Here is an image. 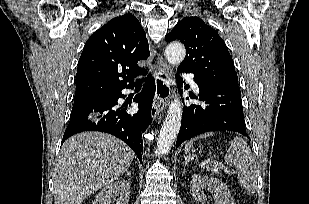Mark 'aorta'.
Wrapping results in <instances>:
<instances>
[{
	"mask_svg": "<svg viewBox=\"0 0 309 204\" xmlns=\"http://www.w3.org/2000/svg\"><path fill=\"white\" fill-rule=\"evenodd\" d=\"M186 55L183 44L172 42L165 49V57L170 64L178 66L182 63ZM182 104L179 99H175L169 106L157 141L158 153L164 155L172 147L181 126Z\"/></svg>",
	"mask_w": 309,
	"mask_h": 204,
	"instance_id": "762f6f07",
	"label": "aorta"
}]
</instances>
